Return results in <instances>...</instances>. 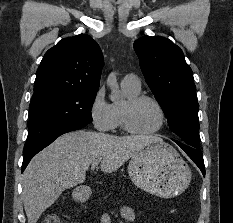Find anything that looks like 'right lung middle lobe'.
I'll use <instances>...</instances> for the list:
<instances>
[{
    "mask_svg": "<svg viewBox=\"0 0 233 223\" xmlns=\"http://www.w3.org/2000/svg\"><path fill=\"white\" fill-rule=\"evenodd\" d=\"M96 92L57 90L33 95L29 106V134L24 146V155L64 126H86L91 123V108Z\"/></svg>",
    "mask_w": 233,
    "mask_h": 223,
    "instance_id": "obj_1",
    "label": "right lung middle lobe"
}]
</instances>
